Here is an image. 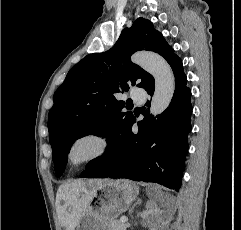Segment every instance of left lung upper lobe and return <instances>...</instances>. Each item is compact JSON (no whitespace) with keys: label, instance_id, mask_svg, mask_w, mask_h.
I'll return each instance as SVG.
<instances>
[{"label":"left lung upper lobe","instance_id":"5c2ea615","mask_svg":"<svg viewBox=\"0 0 241 230\" xmlns=\"http://www.w3.org/2000/svg\"><path fill=\"white\" fill-rule=\"evenodd\" d=\"M138 50L160 54L169 63L175 56L160 32L144 18L125 28L116 44L107 52L84 57L68 72L54 93V105L48 115L49 140L58 177L64 172L67 154L78 138L88 134L104 136L111 142L134 118L122 112L127 104L115 94L129 90L138 82L146 88L153 77L130 56Z\"/></svg>","mask_w":241,"mask_h":230}]
</instances>
